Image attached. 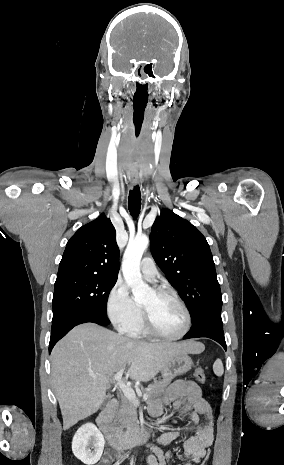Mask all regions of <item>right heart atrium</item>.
Segmentation results:
<instances>
[{
  "mask_svg": "<svg viewBox=\"0 0 284 465\" xmlns=\"http://www.w3.org/2000/svg\"><path fill=\"white\" fill-rule=\"evenodd\" d=\"M105 309L111 323L118 324L121 331L134 325L141 315V309L132 300L127 286L122 281L116 282L109 291Z\"/></svg>",
  "mask_w": 284,
  "mask_h": 465,
  "instance_id": "d8ad5b80",
  "label": "right heart atrium"
}]
</instances>
